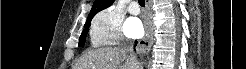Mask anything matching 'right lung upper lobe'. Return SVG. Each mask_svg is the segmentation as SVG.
<instances>
[{"label": "right lung upper lobe", "instance_id": "obj_1", "mask_svg": "<svg viewBox=\"0 0 246 69\" xmlns=\"http://www.w3.org/2000/svg\"><path fill=\"white\" fill-rule=\"evenodd\" d=\"M113 2H114V0H96L92 6V9H91L90 14L87 18V21H91L96 13H98L99 11H101L103 9L108 8L109 6H111L113 4Z\"/></svg>", "mask_w": 246, "mask_h": 69}]
</instances>
